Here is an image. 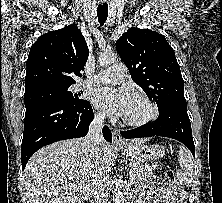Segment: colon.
I'll return each mask as SVG.
<instances>
[{"label":"colon","mask_w":222,"mask_h":203,"mask_svg":"<svg viewBox=\"0 0 222 203\" xmlns=\"http://www.w3.org/2000/svg\"><path fill=\"white\" fill-rule=\"evenodd\" d=\"M165 176H166V179H167V181L170 185H172V186L177 185V180H176V177H175V174H174L173 170L168 169L165 172Z\"/></svg>","instance_id":"1"}]
</instances>
